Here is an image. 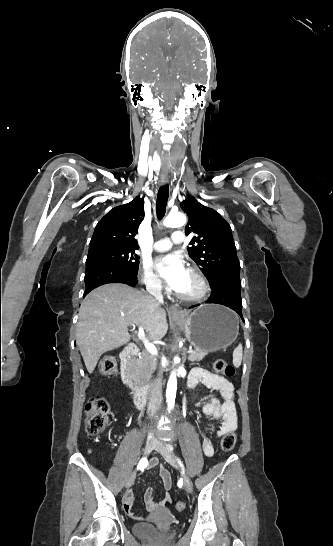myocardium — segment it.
Here are the masks:
<instances>
[{
	"instance_id": "obj_1",
	"label": "myocardium",
	"mask_w": 333,
	"mask_h": 546,
	"mask_svg": "<svg viewBox=\"0 0 333 546\" xmlns=\"http://www.w3.org/2000/svg\"><path fill=\"white\" fill-rule=\"evenodd\" d=\"M190 273L198 280L200 284V291L194 295H185L182 293H177L178 298L189 301V302H198L203 300L210 291V285L204 276V274L196 267H191L189 269Z\"/></svg>"
}]
</instances>
